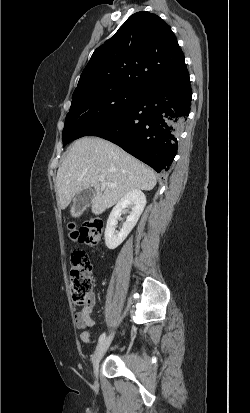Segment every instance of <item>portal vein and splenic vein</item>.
Segmentation results:
<instances>
[{"mask_svg":"<svg viewBox=\"0 0 250 413\" xmlns=\"http://www.w3.org/2000/svg\"><path fill=\"white\" fill-rule=\"evenodd\" d=\"M99 180L101 181V183H102V185L103 186H111V187H114V186H116L115 184H112V183H109V182H107L105 179H104V177H99Z\"/></svg>","mask_w":250,"mask_h":413,"instance_id":"1","label":"portal vein and splenic vein"}]
</instances>
